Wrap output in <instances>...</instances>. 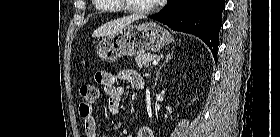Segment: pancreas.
<instances>
[{"instance_id":"1","label":"pancreas","mask_w":280,"mask_h":137,"mask_svg":"<svg viewBox=\"0 0 280 137\" xmlns=\"http://www.w3.org/2000/svg\"><path fill=\"white\" fill-rule=\"evenodd\" d=\"M156 59V56L153 54H141L135 57L136 65L140 68L151 67V61Z\"/></svg>"}]
</instances>
